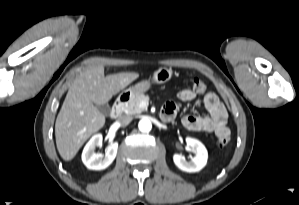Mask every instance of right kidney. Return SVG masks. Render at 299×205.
I'll return each mask as SVG.
<instances>
[{"label":"right kidney","mask_w":299,"mask_h":205,"mask_svg":"<svg viewBox=\"0 0 299 205\" xmlns=\"http://www.w3.org/2000/svg\"><path fill=\"white\" fill-rule=\"evenodd\" d=\"M102 135L95 134L82 152V161L84 165L91 170H103L107 168L115 159L117 150H118V143L114 142L105 151V156L103 157L102 154L95 153V147L102 144Z\"/></svg>","instance_id":"ca27d5eb"}]
</instances>
